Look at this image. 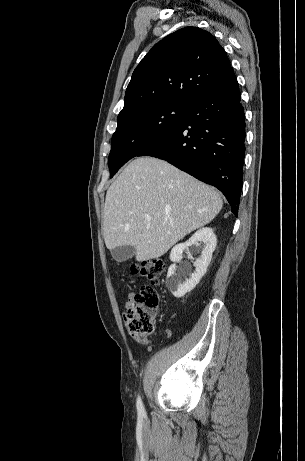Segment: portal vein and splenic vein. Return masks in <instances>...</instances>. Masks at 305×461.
<instances>
[{
    "instance_id": "18ae733b",
    "label": "portal vein and splenic vein",
    "mask_w": 305,
    "mask_h": 461,
    "mask_svg": "<svg viewBox=\"0 0 305 461\" xmlns=\"http://www.w3.org/2000/svg\"><path fill=\"white\" fill-rule=\"evenodd\" d=\"M144 218H145V220H147V221H150V220H151V216H150L149 214H145V215H144Z\"/></svg>"
}]
</instances>
